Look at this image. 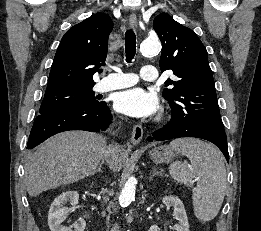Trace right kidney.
<instances>
[{
    "mask_svg": "<svg viewBox=\"0 0 261 231\" xmlns=\"http://www.w3.org/2000/svg\"><path fill=\"white\" fill-rule=\"evenodd\" d=\"M78 199L79 195L76 191L63 192L54 199L48 213V226L51 231H72L62 225V222L65 220L70 210L64 205L69 203L72 206H76V204H78ZM85 227V220L80 218L74 224V231H84Z\"/></svg>",
    "mask_w": 261,
    "mask_h": 231,
    "instance_id": "ca27d5eb",
    "label": "right kidney"
}]
</instances>
